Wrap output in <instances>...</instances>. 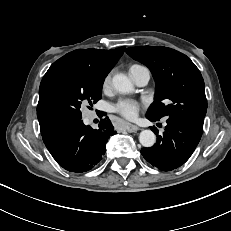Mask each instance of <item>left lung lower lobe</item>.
Segmentation results:
<instances>
[{
    "label": "left lung lower lobe",
    "mask_w": 231,
    "mask_h": 231,
    "mask_svg": "<svg viewBox=\"0 0 231 231\" xmlns=\"http://www.w3.org/2000/svg\"><path fill=\"white\" fill-rule=\"evenodd\" d=\"M147 117V116H146ZM150 121H157L147 117ZM163 135L151 127L157 142L150 148H142L141 154L152 166L162 171H171L184 164L194 152L202 136L203 127L189 121L169 118Z\"/></svg>",
    "instance_id": "0a47b994"
}]
</instances>
